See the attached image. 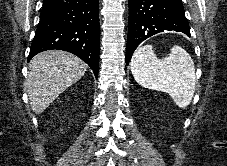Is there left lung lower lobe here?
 Returning a JSON list of instances; mask_svg holds the SVG:
<instances>
[{
  "mask_svg": "<svg viewBox=\"0 0 227 166\" xmlns=\"http://www.w3.org/2000/svg\"><path fill=\"white\" fill-rule=\"evenodd\" d=\"M128 2L127 64L136 48L155 34L173 30L191 36L181 0H128Z\"/></svg>",
  "mask_w": 227,
  "mask_h": 166,
  "instance_id": "0a47b994",
  "label": "left lung lower lobe"
}]
</instances>
